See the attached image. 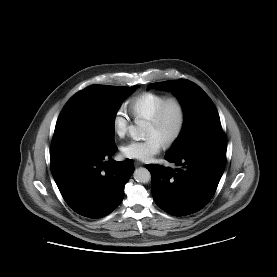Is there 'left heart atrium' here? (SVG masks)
<instances>
[{"label":"left heart atrium","instance_id":"1","mask_svg":"<svg viewBox=\"0 0 277 277\" xmlns=\"http://www.w3.org/2000/svg\"><path fill=\"white\" fill-rule=\"evenodd\" d=\"M164 143L156 136L149 135L142 140H132L122 147L124 156L139 161H149L160 152Z\"/></svg>","mask_w":277,"mask_h":277}]
</instances>
